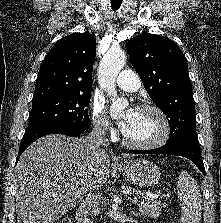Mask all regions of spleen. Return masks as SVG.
I'll list each match as a JSON object with an SVG mask.
<instances>
[{
    "instance_id": "obj_1",
    "label": "spleen",
    "mask_w": 221,
    "mask_h": 223,
    "mask_svg": "<svg viewBox=\"0 0 221 223\" xmlns=\"http://www.w3.org/2000/svg\"><path fill=\"white\" fill-rule=\"evenodd\" d=\"M177 192L182 202L181 223H199L202 211L201 193L197 182L187 171L179 174Z\"/></svg>"
}]
</instances>
